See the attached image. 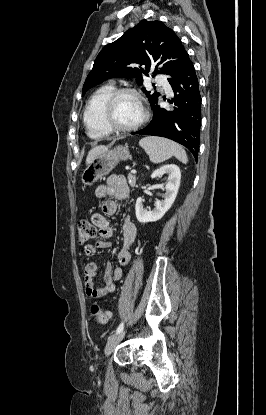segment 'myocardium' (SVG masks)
Returning <instances> with one entry per match:
<instances>
[{
    "mask_svg": "<svg viewBox=\"0 0 266 415\" xmlns=\"http://www.w3.org/2000/svg\"><path fill=\"white\" fill-rule=\"evenodd\" d=\"M124 94H131L135 96L137 100L139 101L141 108H142V116L140 120L131 126L119 125L116 122L115 117H114L115 104L118 98ZM103 117H104L105 123L112 131L125 133V132L135 131L139 129L141 126H143L149 118V112H148L146 105L144 104V101L140 93L136 89L129 88V87H122V88L115 89L110 94L108 99L106 100L105 105H104V110H103Z\"/></svg>",
    "mask_w": 266,
    "mask_h": 415,
    "instance_id": "f54148a6",
    "label": "myocardium"
}]
</instances>
